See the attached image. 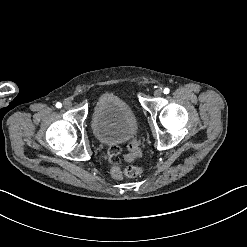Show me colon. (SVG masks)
<instances>
[{
    "instance_id": "5ec220e1",
    "label": "colon",
    "mask_w": 247,
    "mask_h": 247,
    "mask_svg": "<svg viewBox=\"0 0 247 247\" xmlns=\"http://www.w3.org/2000/svg\"><path fill=\"white\" fill-rule=\"evenodd\" d=\"M129 150L134 155V162L136 161V156L141 152L140 146L136 141H132L129 145ZM133 155L130 152H125L122 155V160L125 163H130L133 160ZM133 162V163H134ZM147 174V169L143 165L131 166L129 168L123 169H111V175L116 178H121L125 181H130L132 179H139L145 177Z\"/></svg>"
}]
</instances>
